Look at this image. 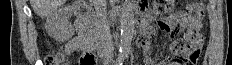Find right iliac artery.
I'll return each mask as SVG.
<instances>
[{
	"label": "right iliac artery",
	"mask_w": 232,
	"mask_h": 65,
	"mask_svg": "<svg viewBox=\"0 0 232 65\" xmlns=\"http://www.w3.org/2000/svg\"><path fill=\"white\" fill-rule=\"evenodd\" d=\"M122 61H123V59H122L121 57H119V58L116 60L115 65H122Z\"/></svg>",
	"instance_id": "82829eb1"
}]
</instances>
